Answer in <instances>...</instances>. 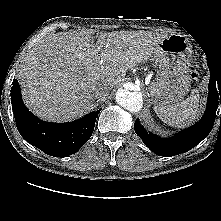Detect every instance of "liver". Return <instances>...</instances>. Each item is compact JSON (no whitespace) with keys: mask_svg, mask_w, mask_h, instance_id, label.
I'll use <instances>...</instances> for the list:
<instances>
[{"mask_svg":"<svg viewBox=\"0 0 221 221\" xmlns=\"http://www.w3.org/2000/svg\"><path fill=\"white\" fill-rule=\"evenodd\" d=\"M165 37L146 31L103 33L96 41L86 32L49 35L20 64L24 103L44 120H74L93 107L95 88L106 86L109 93L129 70L149 60Z\"/></svg>","mask_w":221,"mask_h":221,"instance_id":"liver-1","label":"liver"}]
</instances>
